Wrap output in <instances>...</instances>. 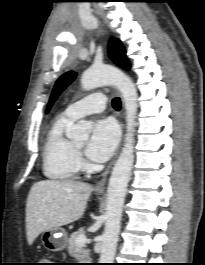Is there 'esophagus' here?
Instances as JSON below:
<instances>
[{
	"mask_svg": "<svg viewBox=\"0 0 205 265\" xmlns=\"http://www.w3.org/2000/svg\"><path fill=\"white\" fill-rule=\"evenodd\" d=\"M120 126H121V129L123 131V123H122V121H120ZM117 154L115 155L114 159L111 161V163L107 166V168L104 170V172H102V174L99 176L98 180L96 181L95 191H97V192H103L105 190V185H106L107 177H108V174L110 172V169H111L112 165L115 162V159L117 157Z\"/></svg>",
	"mask_w": 205,
	"mask_h": 265,
	"instance_id": "obj_1",
	"label": "esophagus"
}]
</instances>
